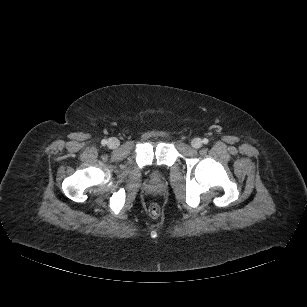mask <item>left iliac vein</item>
Listing matches in <instances>:
<instances>
[{
	"label": "left iliac vein",
	"instance_id": "left-iliac-vein-1",
	"mask_svg": "<svg viewBox=\"0 0 307 307\" xmlns=\"http://www.w3.org/2000/svg\"><path fill=\"white\" fill-rule=\"evenodd\" d=\"M194 148H200L202 146V140L200 138H194L191 142Z\"/></svg>",
	"mask_w": 307,
	"mask_h": 307
}]
</instances>
